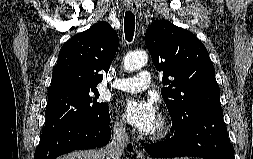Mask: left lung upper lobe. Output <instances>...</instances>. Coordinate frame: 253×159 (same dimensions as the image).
Wrapping results in <instances>:
<instances>
[{
    "mask_svg": "<svg viewBox=\"0 0 253 159\" xmlns=\"http://www.w3.org/2000/svg\"><path fill=\"white\" fill-rule=\"evenodd\" d=\"M145 44L158 71L161 89L172 125L191 109H222L215 69L202 42L190 31L167 20L154 22L145 34Z\"/></svg>",
    "mask_w": 253,
    "mask_h": 159,
    "instance_id": "1",
    "label": "left lung upper lobe"
}]
</instances>
